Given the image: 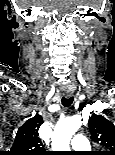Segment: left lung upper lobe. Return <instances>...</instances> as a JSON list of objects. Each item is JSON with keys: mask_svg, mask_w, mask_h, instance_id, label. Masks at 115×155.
Returning <instances> with one entry per match:
<instances>
[{"mask_svg": "<svg viewBox=\"0 0 115 155\" xmlns=\"http://www.w3.org/2000/svg\"><path fill=\"white\" fill-rule=\"evenodd\" d=\"M88 124L92 140L105 149L98 155H115V126L113 123L101 115L93 114L89 118Z\"/></svg>", "mask_w": 115, "mask_h": 155, "instance_id": "1", "label": "left lung upper lobe"}]
</instances>
